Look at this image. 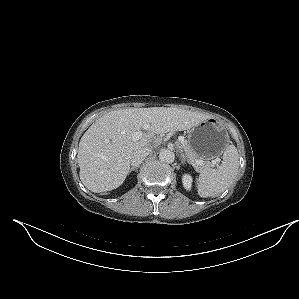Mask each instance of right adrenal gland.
Instances as JSON below:
<instances>
[{"label":"right adrenal gland","instance_id":"2a0ac1e0","mask_svg":"<svg viewBox=\"0 0 299 299\" xmlns=\"http://www.w3.org/2000/svg\"><path fill=\"white\" fill-rule=\"evenodd\" d=\"M138 167H131L130 170H129V173H131V171H134V170H137Z\"/></svg>","mask_w":299,"mask_h":299}]
</instances>
